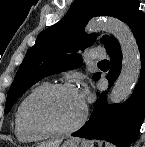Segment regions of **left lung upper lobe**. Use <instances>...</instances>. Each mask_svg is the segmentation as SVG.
Wrapping results in <instances>:
<instances>
[{
	"label": "left lung upper lobe",
	"mask_w": 145,
	"mask_h": 147,
	"mask_svg": "<svg viewBox=\"0 0 145 147\" xmlns=\"http://www.w3.org/2000/svg\"><path fill=\"white\" fill-rule=\"evenodd\" d=\"M131 0H74L67 15L57 24L41 32L35 45L27 52L8 91L5 113L32 85L46 76L75 69L82 64L79 50L91 46L96 35L84 32L87 22L95 16H113L123 21ZM113 37L103 36L105 48ZM100 73L94 75V79Z\"/></svg>",
	"instance_id": "left-lung-upper-lobe-1"
}]
</instances>
